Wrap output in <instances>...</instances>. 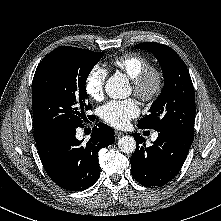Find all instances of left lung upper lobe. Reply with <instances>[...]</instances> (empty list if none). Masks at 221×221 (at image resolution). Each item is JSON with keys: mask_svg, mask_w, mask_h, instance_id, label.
<instances>
[{"mask_svg": "<svg viewBox=\"0 0 221 221\" xmlns=\"http://www.w3.org/2000/svg\"><path fill=\"white\" fill-rule=\"evenodd\" d=\"M135 48L143 49L155 55L161 64L164 75V87L152 104L150 114L142 118L138 125L143 129H178L194 134L195 96L189 71L170 47L152 43H140Z\"/></svg>", "mask_w": 221, "mask_h": 221, "instance_id": "5c2ea615", "label": "left lung upper lobe"}]
</instances>
